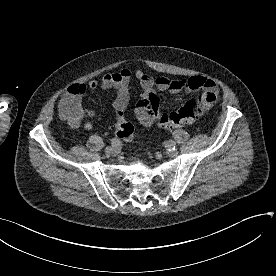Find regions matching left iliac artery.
Instances as JSON below:
<instances>
[{"instance_id":"left-iliac-artery-1","label":"left iliac artery","mask_w":276,"mask_h":276,"mask_svg":"<svg viewBox=\"0 0 276 276\" xmlns=\"http://www.w3.org/2000/svg\"><path fill=\"white\" fill-rule=\"evenodd\" d=\"M166 147H167L168 149H174V148L176 147L175 141L169 140V141L166 143Z\"/></svg>"}]
</instances>
